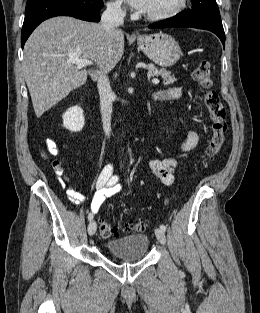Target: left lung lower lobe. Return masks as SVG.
I'll return each mask as SVG.
<instances>
[{
    "label": "left lung lower lobe",
    "instance_id": "1",
    "mask_svg": "<svg viewBox=\"0 0 260 313\" xmlns=\"http://www.w3.org/2000/svg\"><path fill=\"white\" fill-rule=\"evenodd\" d=\"M148 27L151 29L168 28V27H193V28H198V29H206L216 34L220 38L223 45H225L224 29H223V26H220V25L196 22V21L185 19V18H178V19H173V20L168 19L167 23L150 25Z\"/></svg>",
    "mask_w": 260,
    "mask_h": 313
}]
</instances>
